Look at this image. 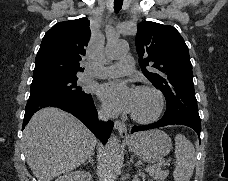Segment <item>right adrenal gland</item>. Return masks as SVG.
I'll return each instance as SVG.
<instances>
[{
    "label": "right adrenal gland",
    "mask_w": 228,
    "mask_h": 181,
    "mask_svg": "<svg viewBox=\"0 0 228 181\" xmlns=\"http://www.w3.org/2000/svg\"><path fill=\"white\" fill-rule=\"evenodd\" d=\"M88 163H91V165L93 167V165H94L93 155H91V157H89V159H87L86 163H84V167H85V165H88Z\"/></svg>",
    "instance_id": "1"
}]
</instances>
